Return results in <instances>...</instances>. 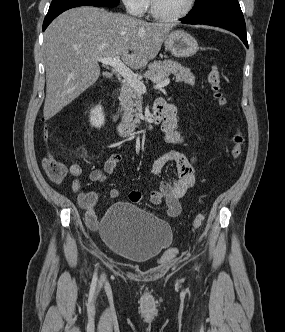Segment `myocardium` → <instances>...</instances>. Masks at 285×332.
<instances>
[{
	"label": "myocardium",
	"instance_id": "1",
	"mask_svg": "<svg viewBox=\"0 0 285 332\" xmlns=\"http://www.w3.org/2000/svg\"><path fill=\"white\" fill-rule=\"evenodd\" d=\"M196 0H189L188 6L179 14L169 16L160 13L156 7L155 0H150V13L153 18L164 22H175L185 18L195 7Z\"/></svg>",
	"mask_w": 285,
	"mask_h": 332
}]
</instances>
